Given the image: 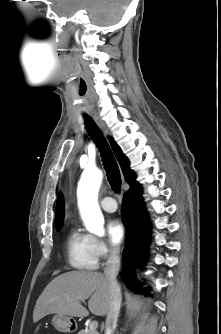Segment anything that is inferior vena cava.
Returning <instances> with one entry per match:
<instances>
[{
  "label": "inferior vena cava",
  "mask_w": 221,
  "mask_h": 334,
  "mask_svg": "<svg viewBox=\"0 0 221 334\" xmlns=\"http://www.w3.org/2000/svg\"><path fill=\"white\" fill-rule=\"evenodd\" d=\"M119 268H120L119 249L112 248L110 250V255L107 259L104 268V275L110 284V299H111L105 323L106 334H111L115 330L120 311V305L122 299L121 289L116 279L119 272Z\"/></svg>",
  "instance_id": "1"
}]
</instances>
